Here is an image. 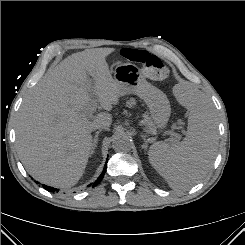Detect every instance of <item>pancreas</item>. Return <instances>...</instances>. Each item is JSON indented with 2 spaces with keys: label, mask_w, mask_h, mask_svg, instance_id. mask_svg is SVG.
I'll return each mask as SVG.
<instances>
[{
  "label": "pancreas",
  "mask_w": 245,
  "mask_h": 245,
  "mask_svg": "<svg viewBox=\"0 0 245 245\" xmlns=\"http://www.w3.org/2000/svg\"><path fill=\"white\" fill-rule=\"evenodd\" d=\"M134 104H135V101L133 99L130 100V102H128V105L129 106H132ZM145 124H146V128H147V131L148 132H152L154 130L153 129V124H152V122L150 121V119L148 117H146Z\"/></svg>",
  "instance_id": "pancreas-1"
}]
</instances>
